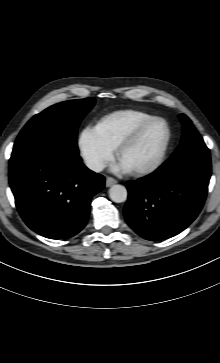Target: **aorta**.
<instances>
[{
	"label": "aorta",
	"instance_id": "obj_1",
	"mask_svg": "<svg viewBox=\"0 0 220 363\" xmlns=\"http://www.w3.org/2000/svg\"><path fill=\"white\" fill-rule=\"evenodd\" d=\"M128 192L123 185H113L109 189V197L116 203H122L127 200Z\"/></svg>",
	"mask_w": 220,
	"mask_h": 363
}]
</instances>
